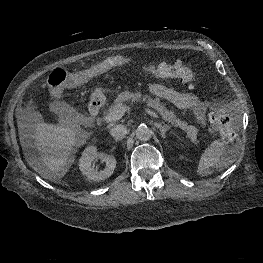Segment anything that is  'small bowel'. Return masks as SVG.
I'll use <instances>...</instances> for the list:
<instances>
[{
  "label": "small bowel",
  "mask_w": 263,
  "mask_h": 263,
  "mask_svg": "<svg viewBox=\"0 0 263 263\" xmlns=\"http://www.w3.org/2000/svg\"><path fill=\"white\" fill-rule=\"evenodd\" d=\"M149 89L153 95L169 101L177 108L191 110L200 123L205 122L209 103L200 99L195 93L190 91H178L159 83L151 84Z\"/></svg>",
  "instance_id": "small-bowel-1"
}]
</instances>
